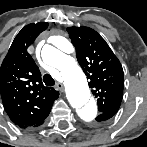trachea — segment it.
<instances>
[{
    "instance_id": "1",
    "label": "trachea",
    "mask_w": 147,
    "mask_h": 147,
    "mask_svg": "<svg viewBox=\"0 0 147 147\" xmlns=\"http://www.w3.org/2000/svg\"><path fill=\"white\" fill-rule=\"evenodd\" d=\"M43 82L47 86H53L55 84V81H54L53 77L50 74H45L43 76Z\"/></svg>"
}]
</instances>
